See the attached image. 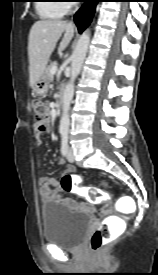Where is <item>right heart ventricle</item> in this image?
Masks as SVG:
<instances>
[{"label":"right heart ventricle","instance_id":"right-heart-ventricle-1","mask_svg":"<svg viewBox=\"0 0 158 275\" xmlns=\"http://www.w3.org/2000/svg\"><path fill=\"white\" fill-rule=\"evenodd\" d=\"M37 5L39 14L44 18H60L66 13V7L61 1L44 0Z\"/></svg>","mask_w":158,"mask_h":275}]
</instances>
